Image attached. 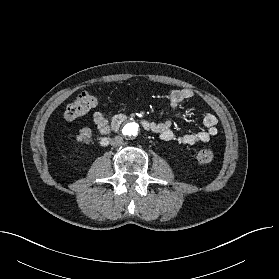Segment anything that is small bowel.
Listing matches in <instances>:
<instances>
[{
	"label": "small bowel",
	"mask_w": 279,
	"mask_h": 279,
	"mask_svg": "<svg viewBox=\"0 0 279 279\" xmlns=\"http://www.w3.org/2000/svg\"><path fill=\"white\" fill-rule=\"evenodd\" d=\"M194 92L191 89H176L170 93L171 108L176 111L183 101L192 99ZM93 121L101 134H107L110 131V121L102 112L96 111L93 114ZM202 123L204 129L198 132L177 135L172 130L173 118L170 117L162 122H152L151 130L157 133L164 141H176L182 145H195L199 143H206L212 137L217 135V118L212 113H205L202 116Z\"/></svg>",
	"instance_id": "c3829d8e"
}]
</instances>
